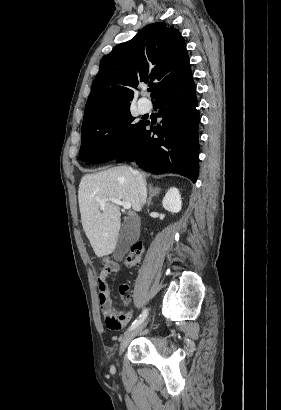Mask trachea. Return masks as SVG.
Masks as SVG:
<instances>
[{"label": "trachea", "instance_id": "obj_1", "mask_svg": "<svg viewBox=\"0 0 281 410\" xmlns=\"http://www.w3.org/2000/svg\"><path fill=\"white\" fill-rule=\"evenodd\" d=\"M152 90H153V88L149 87L148 91H152Z\"/></svg>", "mask_w": 281, "mask_h": 410}]
</instances>
